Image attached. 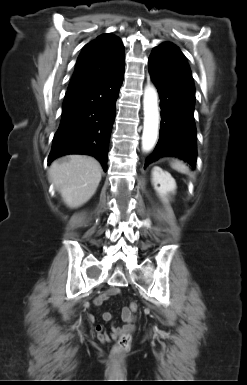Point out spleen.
Returning <instances> with one entry per match:
<instances>
[{"mask_svg": "<svg viewBox=\"0 0 247 385\" xmlns=\"http://www.w3.org/2000/svg\"><path fill=\"white\" fill-rule=\"evenodd\" d=\"M172 168L184 174L189 173V168L180 161H175L174 163H172Z\"/></svg>", "mask_w": 247, "mask_h": 385, "instance_id": "spleen-1", "label": "spleen"}]
</instances>
